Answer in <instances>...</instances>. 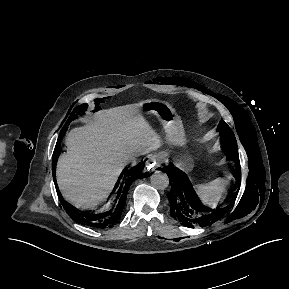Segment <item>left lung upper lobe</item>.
Returning <instances> with one entry per match:
<instances>
[{"instance_id":"5c2ea615","label":"left lung upper lobe","mask_w":289,"mask_h":289,"mask_svg":"<svg viewBox=\"0 0 289 289\" xmlns=\"http://www.w3.org/2000/svg\"><path fill=\"white\" fill-rule=\"evenodd\" d=\"M217 131L221 133V145L228 148V159L233 160L235 163H239L237 146L229 126L221 120Z\"/></svg>"}]
</instances>
